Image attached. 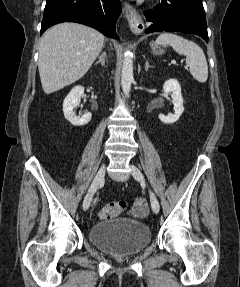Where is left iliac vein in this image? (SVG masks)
Segmentation results:
<instances>
[{
    "label": "left iliac vein",
    "instance_id": "4c4485c4",
    "mask_svg": "<svg viewBox=\"0 0 240 287\" xmlns=\"http://www.w3.org/2000/svg\"><path fill=\"white\" fill-rule=\"evenodd\" d=\"M130 168H131L132 176L136 180H138L140 183L145 185L146 182H145V179H144L142 172L133 164L130 165ZM149 195H150V203H151L152 210L154 211V213H158L159 209H160L159 202H158L155 194L151 190H149Z\"/></svg>",
    "mask_w": 240,
    "mask_h": 287
}]
</instances>
